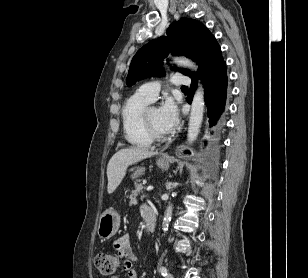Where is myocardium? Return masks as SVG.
Listing matches in <instances>:
<instances>
[{
    "instance_id": "myocardium-1",
    "label": "myocardium",
    "mask_w": 308,
    "mask_h": 278,
    "mask_svg": "<svg viewBox=\"0 0 308 278\" xmlns=\"http://www.w3.org/2000/svg\"><path fill=\"white\" fill-rule=\"evenodd\" d=\"M152 107H147L143 113H142V123L143 126L146 130V132L148 133V135L153 139V140H162L164 138L163 133L158 132L157 130L154 129V127L152 126V124L150 123L149 120V110Z\"/></svg>"
}]
</instances>
